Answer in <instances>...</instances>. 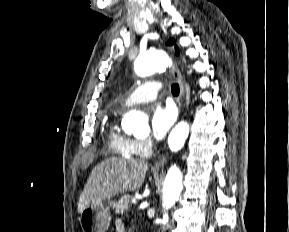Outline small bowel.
Instances as JSON below:
<instances>
[{
    "mask_svg": "<svg viewBox=\"0 0 289 232\" xmlns=\"http://www.w3.org/2000/svg\"><path fill=\"white\" fill-rule=\"evenodd\" d=\"M115 230H116V232H125V225H124L123 221H121V220L115 221Z\"/></svg>",
    "mask_w": 289,
    "mask_h": 232,
    "instance_id": "obj_1",
    "label": "small bowel"
}]
</instances>
